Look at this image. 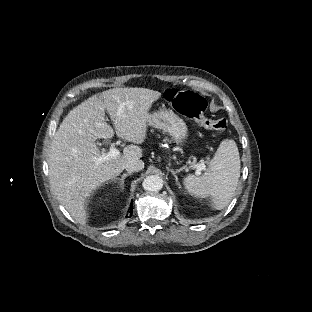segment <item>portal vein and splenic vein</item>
<instances>
[{
    "label": "portal vein and splenic vein",
    "mask_w": 312,
    "mask_h": 312,
    "mask_svg": "<svg viewBox=\"0 0 312 312\" xmlns=\"http://www.w3.org/2000/svg\"><path fill=\"white\" fill-rule=\"evenodd\" d=\"M119 155H120V151L114 147H111L108 153H104L100 155L99 157H93V161H94L95 166H99L100 164L109 160L110 158H116ZM193 167L196 168V174H200V172L204 170L206 166L204 162H201V163L195 164Z\"/></svg>",
    "instance_id": "1"
}]
</instances>
